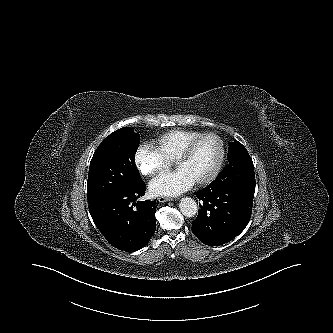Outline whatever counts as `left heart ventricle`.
<instances>
[{"label":"left heart ventricle","instance_id":"1","mask_svg":"<svg viewBox=\"0 0 333 333\" xmlns=\"http://www.w3.org/2000/svg\"><path fill=\"white\" fill-rule=\"evenodd\" d=\"M219 154L218 141L213 137H206L196 145L191 155L177 167L185 171L196 182L211 173Z\"/></svg>","mask_w":333,"mask_h":333}]
</instances>
